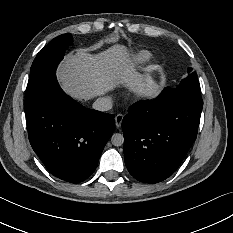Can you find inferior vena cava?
Returning a JSON list of instances; mask_svg holds the SVG:
<instances>
[{
	"mask_svg": "<svg viewBox=\"0 0 233 233\" xmlns=\"http://www.w3.org/2000/svg\"><path fill=\"white\" fill-rule=\"evenodd\" d=\"M113 103L110 98L100 97L92 105L93 109L98 111H108L112 109Z\"/></svg>",
	"mask_w": 233,
	"mask_h": 233,
	"instance_id": "obj_1",
	"label": "inferior vena cava"
}]
</instances>
